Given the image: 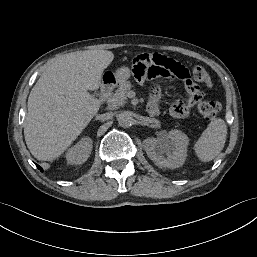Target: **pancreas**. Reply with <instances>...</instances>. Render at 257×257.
<instances>
[{
  "label": "pancreas",
  "instance_id": "1",
  "mask_svg": "<svg viewBox=\"0 0 257 257\" xmlns=\"http://www.w3.org/2000/svg\"><path fill=\"white\" fill-rule=\"evenodd\" d=\"M133 85L129 81H125L119 85V88L111 93L107 98V109L114 110L120 106H124L128 100V92Z\"/></svg>",
  "mask_w": 257,
  "mask_h": 257
}]
</instances>
